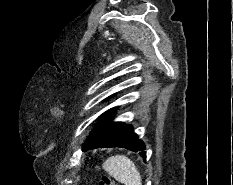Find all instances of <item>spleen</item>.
Here are the masks:
<instances>
[{"label": "spleen", "mask_w": 233, "mask_h": 185, "mask_svg": "<svg viewBox=\"0 0 233 185\" xmlns=\"http://www.w3.org/2000/svg\"><path fill=\"white\" fill-rule=\"evenodd\" d=\"M104 170L124 185H142L141 175L135 164L124 155L109 157L103 164Z\"/></svg>", "instance_id": "1"}]
</instances>
